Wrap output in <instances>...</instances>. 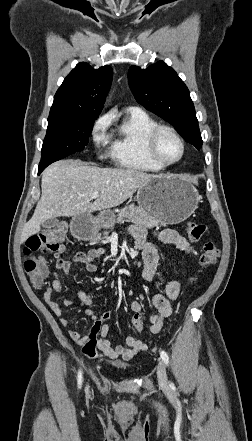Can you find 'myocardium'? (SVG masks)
<instances>
[{
  "instance_id": "myocardium-1",
  "label": "myocardium",
  "mask_w": 252,
  "mask_h": 441,
  "mask_svg": "<svg viewBox=\"0 0 252 441\" xmlns=\"http://www.w3.org/2000/svg\"><path fill=\"white\" fill-rule=\"evenodd\" d=\"M164 132L171 134L175 139H177V141L180 143V146H181L180 156L173 161L166 162V161L162 160L157 153V140H158L159 136ZM146 151H147L149 158L154 163H156L157 165H159L162 168H166V167L172 166L174 164H177L178 162H180L183 159L185 152H186V144H185L184 139L181 137V135L173 127L168 126V125H157L148 133V135L146 137Z\"/></svg>"
}]
</instances>
